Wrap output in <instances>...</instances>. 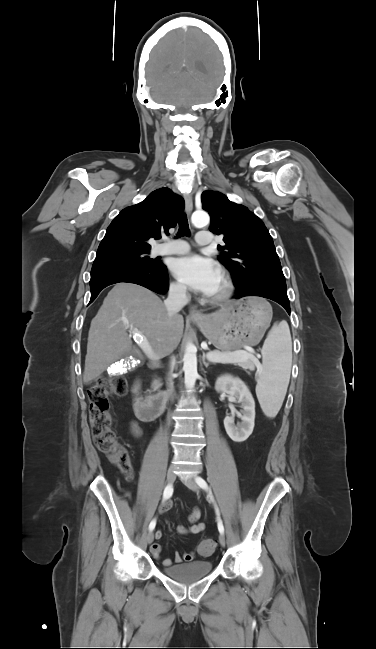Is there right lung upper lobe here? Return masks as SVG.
Returning <instances> with one entry per match:
<instances>
[{"label":"right lung upper lobe","mask_w":376,"mask_h":649,"mask_svg":"<svg viewBox=\"0 0 376 649\" xmlns=\"http://www.w3.org/2000/svg\"><path fill=\"white\" fill-rule=\"evenodd\" d=\"M184 200L169 188L151 192L147 198L123 209L108 226L97 254L150 251L149 238L158 239L175 227L184 210Z\"/></svg>","instance_id":"1"}]
</instances>
